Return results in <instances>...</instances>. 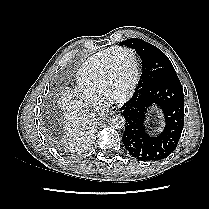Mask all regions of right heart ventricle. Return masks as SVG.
<instances>
[{"mask_svg": "<svg viewBox=\"0 0 209 209\" xmlns=\"http://www.w3.org/2000/svg\"><path fill=\"white\" fill-rule=\"evenodd\" d=\"M117 47L102 50L85 61L77 73L79 88L92 95L101 96L103 93L104 72L110 55ZM105 96V95H104Z\"/></svg>", "mask_w": 209, "mask_h": 209, "instance_id": "obj_1", "label": "right heart ventricle"}]
</instances>
